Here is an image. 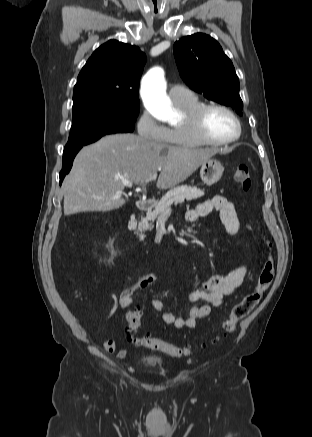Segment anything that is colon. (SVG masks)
I'll list each match as a JSON object with an SVG mask.
<instances>
[{"label":"colon","mask_w":312,"mask_h":437,"mask_svg":"<svg viewBox=\"0 0 312 437\" xmlns=\"http://www.w3.org/2000/svg\"><path fill=\"white\" fill-rule=\"evenodd\" d=\"M233 179L243 191L247 192L250 190L252 182L248 166H237L233 173ZM264 240L266 246L271 248V243L266 239ZM274 269V259L269 254L261 268L254 290L246 294L243 299L233 307L230 315L223 322V328L226 333H231L237 323L247 317L259 304L263 292L272 282ZM126 320L131 333V340L137 346L146 347L171 357H182L188 354L189 350L187 347L173 345L156 337L139 335L141 326V312L139 310H129L126 313Z\"/></svg>","instance_id":"colon-1"}]
</instances>
